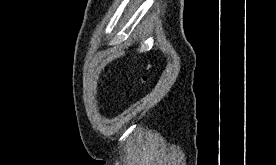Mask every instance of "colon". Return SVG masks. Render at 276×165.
I'll return each instance as SVG.
<instances>
[{
    "mask_svg": "<svg viewBox=\"0 0 276 165\" xmlns=\"http://www.w3.org/2000/svg\"><path fill=\"white\" fill-rule=\"evenodd\" d=\"M145 81V76L142 75L139 77V83H143Z\"/></svg>",
    "mask_w": 276,
    "mask_h": 165,
    "instance_id": "5ec220e1",
    "label": "colon"
}]
</instances>
